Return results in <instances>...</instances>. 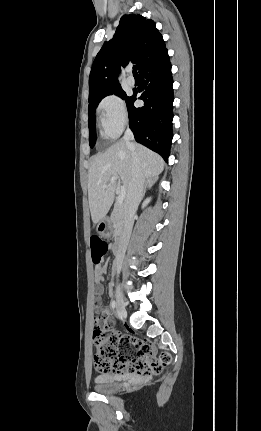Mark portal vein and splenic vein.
I'll use <instances>...</instances> for the list:
<instances>
[{
	"mask_svg": "<svg viewBox=\"0 0 261 431\" xmlns=\"http://www.w3.org/2000/svg\"><path fill=\"white\" fill-rule=\"evenodd\" d=\"M119 177L118 176H113L110 179V183L115 182ZM104 187H107V185H105ZM126 196V189L122 186L119 190H118V199H117V203L118 204H122L124 198Z\"/></svg>",
	"mask_w": 261,
	"mask_h": 431,
	"instance_id": "18ae733b",
	"label": "portal vein and splenic vein"
}]
</instances>
